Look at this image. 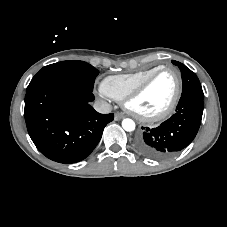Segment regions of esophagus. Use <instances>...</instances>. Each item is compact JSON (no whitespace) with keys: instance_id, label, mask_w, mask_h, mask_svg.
<instances>
[{"instance_id":"obj_1","label":"esophagus","mask_w":227,"mask_h":227,"mask_svg":"<svg viewBox=\"0 0 227 227\" xmlns=\"http://www.w3.org/2000/svg\"><path fill=\"white\" fill-rule=\"evenodd\" d=\"M125 117V115L123 113H120V112H117L115 114V120L118 121V120H121Z\"/></svg>"}]
</instances>
